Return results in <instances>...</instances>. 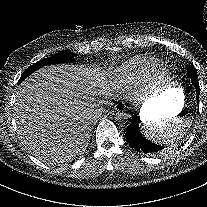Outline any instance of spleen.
<instances>
[{"label": "spleen", "mask_w": 207, "mask_h": 207, "mask_svg": "<svg viewBox=\"0 0 207 207\" xmlns=\"http://www.w3.org/2000/svg\"><path fill=\"white\" fill-rule=\"evenodd\" d=\"M194 126L189 116H177L173 119H148L138 129L143 139H151L154 143L162 144L177 141L185 136Z\"/></svg>", "instance_id": "spleen-1"}]
</instances>
